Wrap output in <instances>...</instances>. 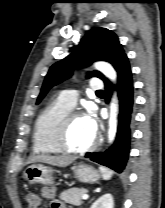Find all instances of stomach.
<instances>
[{"label": "stomach", "instance_id": "0dacf381", "mask_svg": "<svg viewBox=\"0 0 165 208\" xmlns=\"http://www.w3.org/2000/svg\"><path fill=\"white\" fill-rule=\"evenodd\" d=\"M76 179L82 183L97 182L101 174L98 170L85 164H79L73 169ZM24 177L29 184H53V169L42 164H32L24 171Z\"/></svg>", "mask_w": 165, "mask_h": 208}]
</instances>
